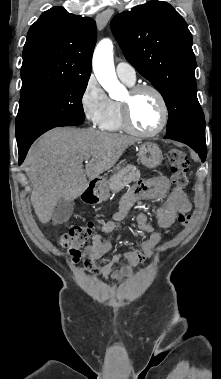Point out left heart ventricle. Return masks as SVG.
<instances>
[{
  "label": "left heart ventricle",
  "mask_w": 221,
  "mask_h": 379,
  "mask_svg": "<svg viewBox=\"0 0 221 379\" xmlns=\"http://www.w3.org/2000/svg\"><path fill=\"white\" fill-rule=\"evenodd\" d=\"M128 94L124 98L126 100ZM131 115L134 125L142 131L155 129L161 118V109L156 96L144 91L131 100Z\"/></svg>",
  "instance_id": "b2bd125f"
}]
</instances>
